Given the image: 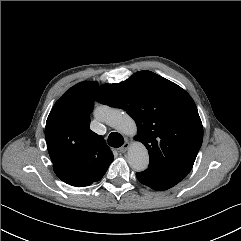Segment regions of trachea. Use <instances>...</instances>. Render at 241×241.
Instances as JSON below:
<instances>
[{
	"mask_svg": "<svg viewBox=\"0 0 241 241\" xmlns=\"http://www.w3.org/2000/svg\"><path fill=\"white\" fill-rule=\"evenodd\" d=\"M124 144V139L121 134L117 132H112L108 136V145L112 147H121Z\"/></svg>",
	"mask_w": 241,
	"mask_h": 241,
	"instance_id": "1",
	"label": "trachea"
}]
</instances>
